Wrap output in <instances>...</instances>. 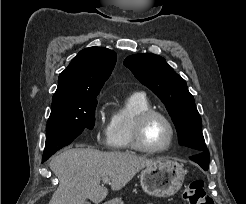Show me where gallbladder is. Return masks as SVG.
I'll list each match as a JSON object with an SVG mask.
<instances>
[{"instance_id": "1", "label": "gallbladder", "mask_w": 246, "mask_h": 204, "mask_svg": "<svg viewBox=\"0 0 246 204\" xmlns=\"http://www.w3.org/2000/svg\"><path fill=\"white\" fill-rule=\"evenodd\" d=\"M84 204H91L90 202H88V201H85V203Z\"/></svg>"}]
</instances>
